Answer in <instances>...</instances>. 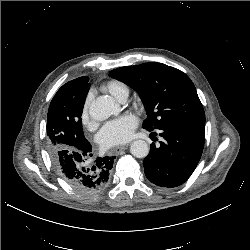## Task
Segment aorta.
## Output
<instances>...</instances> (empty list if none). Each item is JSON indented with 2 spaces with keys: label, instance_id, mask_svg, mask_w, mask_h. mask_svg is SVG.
I'll return each instance as SVG.
<instances>
[{
  "label": "aorta",
  "instance_id": "762f6f07",
  "mask_svg": "<svg viewBox=\"0 0 250 250\" xmlns=\"http://www.w3.org/2000/svg\"><path fill=\"white\" fill-rule=\"evenodd\" d=\"M117 111V104L107 97L97 98L89 108L90 117L96 121H104ZM130 152L137 158H145L149 153V146L143 140H135L130 146Z\"/></svg>",
  "mask_w": 250,
  "mask_h": 250
}]
</instances>
